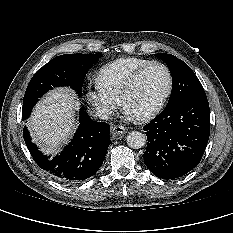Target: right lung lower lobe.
<instances>
[{
  "instance_id": "98d812e1",
  "label": "right lung lower lobe",
  "mask_w": 233,
  "mask_h": 233,
  "mask_svg": "<svg viewBox=\"0 0 233 233\" xmlns=\"http://www.w3.org/2000/svg\"><path fill=\"white\" fill-rule=\"evenodd\" d=\"M79 122L69 145L60 155L50 159L31 142L27 128L23 129L25 143L34 161L54 179L63 183H76L93 176L102 165L111 143L107 123L91 120L82 109Z\"/></svg>"
}]
</instances>
